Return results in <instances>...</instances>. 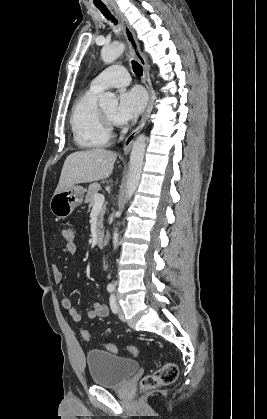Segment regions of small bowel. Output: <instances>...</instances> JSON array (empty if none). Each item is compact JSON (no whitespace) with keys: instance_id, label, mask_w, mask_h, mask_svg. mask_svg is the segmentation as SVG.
Here are the masks:
<instances>
[{"instance_id":"obj_1","label":"small bowel","mask_w":267,"mask_h":419,"mask_svg":"<svg viewBox=\"0 0 267 419\" xmlns=\"http://www.w3.org/2000/svg\"><path fill=\"white\" fill-rule=\"evenodd\" d=\"M77 251V246L75 245H68L65 244L64 247L61 249V252L64 254H75ZM51 271L53 275V279L56 283H60L63 280V273L57 264H52ZM61 305L64 309H66L70 315V317L75 321L79 322L82 319V315L80 312L73 306L71 300L68 297H64L61 300ZM109 309L105 304H101L98 302H94L91 304L88 312L87 317L90 319L95 318H104L108 316Z\"/></svg>"}]
</instances>
